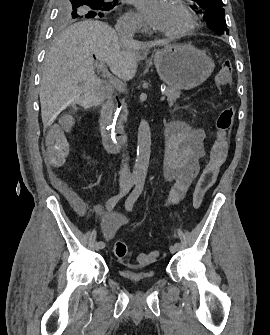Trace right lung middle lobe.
I'll return each mask as SVG.
<instances>
[{"instance_id": "1", "label": "right lung middle lobe", "mask_w": 270, "mask_h": 335, "mask_svg": "<svg viewBox=\"0 0 270 335\" xmlns=\"http://www.w3.org/2000/svg\"><path fill=\"white\" fill-rule=\"evenodd\" d=\"M118 0H60L58 5L57 22L67 24L96 17L97 19L109 14Z\"/></svg>"}]
</instances>
